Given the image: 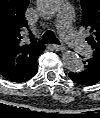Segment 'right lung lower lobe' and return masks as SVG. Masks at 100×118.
Instances as JSON below:
<instances>
[{
  "label": "right lung lower lobe",
  "mask_w": 100,
  "mask_h": 118,
  "mask_svg": "<svg viewBox=\"0 0 100 118\" xmlns=\"http://www.w3.org/2000/svg\"><path fill=\"white\" fill-rule=\"evenodd\" d=\"M45 49V46L40 44L34 53L29 57L23 68L19 72H15L12 75H3L6 79L12 82H25L31 79L37 73L36 60L39 54Z\"/></svg>",
  "instance_id": "obj_1"
}]
</instances>
